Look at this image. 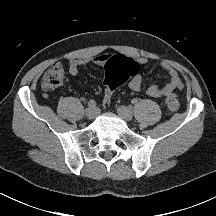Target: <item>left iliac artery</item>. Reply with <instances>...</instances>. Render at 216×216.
<instances>
[{"instance_id": "left-iliac-artery-1", "label": "left iliac artery", "mask_w": 216, "mask_h": 216, "mask_svg": "<svg viewBox=\"0 0 216 216\" xmlns=\"http://www.w3.org/2000/svg\"><path fill=\"white\" fill-rule=\"evenodd\" d=\"M131 103H132V104H136V103H137V99H135V98L132 99V100H131Z\"/></svg>"}]
</instances>
